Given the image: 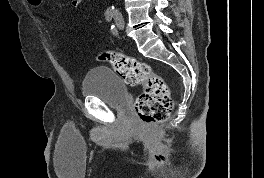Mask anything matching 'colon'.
Instances as JSON below:
<instances>
[{"label": "colon", "instance_id": "1", "mask_svg": "<svg viewBox=\"0 0 264 178\" xmlns=\"http://www.w3.org/2000/svg\"><path fill=\"white\" fill-rule=\"evenodd\" d=\"M28 1L36 6L42 3V0ZM96 59L111 65L128 85L143 86L142 92L135 101V110L142 122L150 124L169 118L173 109L169 88L161 76L152 72L148 64L115 51L100 52Z\"/></svg>", "mask_w": 264, "mask_h": 178}]
</instances>
